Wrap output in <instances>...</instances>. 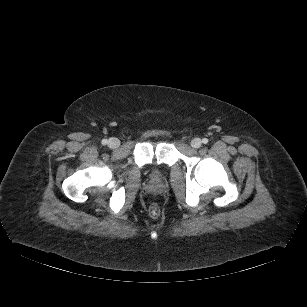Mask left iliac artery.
Returning <instances> with one entry per match:
<instances>
[{
  "label": "left iliac artery",
  "instance_id": "left-iliac-artery-1",
  "mask_svg": "<svg viewBox=\"0 0 307 307\" xmlns=\"http://www.w3.org/2000/svg\"><path fill=\"white\" fill-rule=\"evenodd\" d=\"M202 142H203L204 144H207V143H208V139H207V138H204V139L202 140Z\"/></svg>",
  "mask_w": 307,
  "mask_h": 307
}]
</instances>
